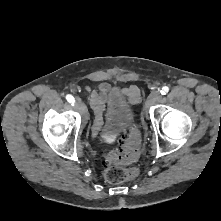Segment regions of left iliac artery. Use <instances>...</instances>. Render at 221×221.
Returning <instances> with one entry per match:
<instances>
[{
  "label": "left iliac artery",
  "instance_id": "44dca946",
  "mask_svg": "<svg viewBox=\"0 0 221 221\" xmlns=\"http://www.w3.org/2000/svg\"><path fill=\"white\" fill-rule=\"evenodd\" d=\"M160 92H161L162 95L167 94L169 92V87L168 86H163Z\"/></svg>",
  "mask_w": 221,
  "mask_h": 221
}]
</instances>
